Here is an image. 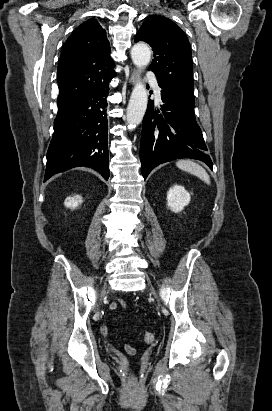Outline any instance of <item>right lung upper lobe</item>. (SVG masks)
<instances>
[{"label":"right lung upper lobe","mask_w":272,"mask_h":411,"mask_svg":"<svg viewBox=\"0 0 272 411\" xmlns=\"http://www.w3.org/2000/svg\"><path fill=\"white\" fill-rule=\"evenodd\" d=\"M105 30L94 18L82 23L67 39L57 69L63 104L107 83L115 75Z\"/></svg>","instance_id":"obj_1"}]
</instances>
